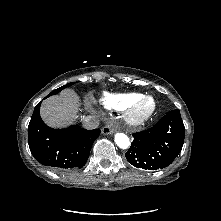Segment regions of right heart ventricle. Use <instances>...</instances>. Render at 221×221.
I'll list each match as a JSON object with an SVG mask.
<instances>
[{"instance_id":"obj_1","label":"right heart ventricle","mask_w":221,"mask_h":221,"mask_svg":"<svg viewBox=\"0 0 221 221\" xmlns=\"http://www.w3.org/2000/svg\"><path fill=\"white\" fill-rule=\"evenodd\" d=\"M143 96L140 93H104L100 99L103 107L110 110H124L131 102Z\"/></svg>"}]
</instances>
